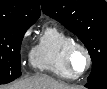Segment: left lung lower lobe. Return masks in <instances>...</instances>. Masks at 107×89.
<instances>
[{"instance_id": "1", "label": "left lung lower lobe", "mask_w": 107, "mask_h": 89, "mask_svg": "<svg viewBox=\"0 0 107 89\" xmlns=\"http://www.w3.org/2000/svg\"><path fill=\"white\" fill-rule=\"evenodd\" d=\"M85 86L89 89H107V74H103L96 80L88 82Z\"/></svg>"}]
</instances>
